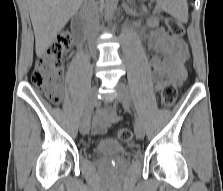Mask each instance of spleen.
Returning <instances> with one entry per match:
<instances>
[{
	"label": "spleen",
	"mask_w": 223,
	"mask_h": 191,
	"mask_svg": "<svg viewBox=\"0 0 223 191\" xmlns=\"http://www.w3.org/2000/svg\"><path fill=\"white\" fill-rule=\"evenodd\" d=\"M170 12L183 22L188 19V5L186 0H170Z\"/></svg>",
	"instance_id": "spleen-1"
}]
</instances>
